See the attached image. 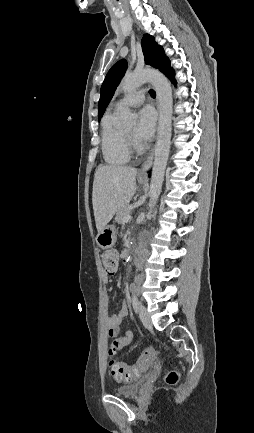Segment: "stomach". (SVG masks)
Here are the masks:
<instances>
[{
    "label": "stomach",
    "instance_id": "stomach-1",
    "mask_svg": "<svg viewBox=\"0 0 254 433\" xmlns=\"http://www.w3.org/2000/svg\"><path fill=\"white\" fill-rule=\"evenodd\" d=\"M140 184H144L145 181L139 179ZM97 244L102 249H108L112 247L116 242V230L113 225H106L96 237Z\"/></svg>",
    "mask_w": 254,
    "mask_h": 433
}]
</instances>
